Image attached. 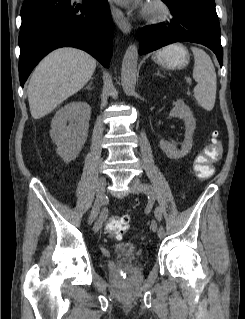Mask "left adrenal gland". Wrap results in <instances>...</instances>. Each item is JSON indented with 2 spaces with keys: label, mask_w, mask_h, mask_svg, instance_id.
<instances>
[{
  "label": "left adrenal gland",
  "mask_w": 245,
  "mask_h": 319,
  "mask_svg": "<svg viewBox=\"0 0 245 319\" xmlns=\"http://www.w3.org/2000/svg\"><path fill=\"white\" fill-rule=\"evenodd\" d=\"M155 75L163 77V75H161L160 71H157V73H155Z\"/></svg>",
  "instance_id": "1"
}]
</instances>
